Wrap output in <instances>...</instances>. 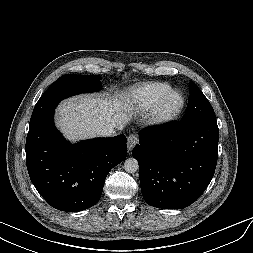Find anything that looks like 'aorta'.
<instances>
[{
    "instance_id": "1",
    "label": "aorta",
    "mask_w": 253,
    "mask_h": 253,
    "mask_svg": "<svg viewBox=\"0 0 253 253\" xmlns=\"http://www.w3.org/2000/svg\"><path fill=\"white\" fill-rule=\"evenodd\" d=\"M139 168L138 161L135 158H128L124 162V169L127 173H135Z\"/></svg>"
}]
</instances>
